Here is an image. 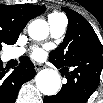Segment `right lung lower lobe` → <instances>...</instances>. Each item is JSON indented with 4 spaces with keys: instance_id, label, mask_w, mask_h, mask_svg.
<instances>
[{
    "instance_id": "98d812e1",
    "label": "right lung lower lobe",
    "mask_w": 103,
    "mask_h": 103,
    "mask_svg": "<svg viewBox=\"0 0 103 103\" xmlns=\"http://www.w3.org/2000/svg\"><path fill=\"white\" fill-rule=\"evenodd\" d=\"M0 65V103H14L20 87L35 76L34 65L27 58L11 73Z\"/></svg>"
}]
</instances>
